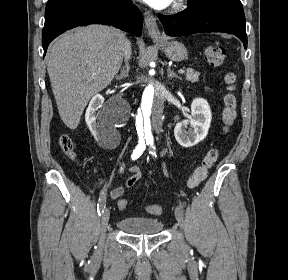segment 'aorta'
Instances as JSON below:
<instances>
[{"instance_id":"obj_1","label":"aorta","mask_w":288,"mask_h":280,"mask_svg":"<svg viewBox=\"0 0 288 280\" xmlns=\"http://www.w3.org/2000/svg\"><path fill=\"white\" fill-rule=\"evenodd\" d=\"M153 98L154 87L152 84H149L143 92L141 106H137L134 120H149L152 111ZM136 126V136H138V140H152L153 126H151V121H136Z\"/></svg>"}]
</instances>
